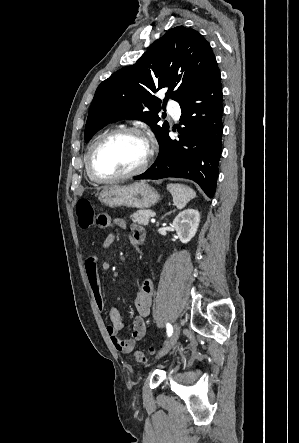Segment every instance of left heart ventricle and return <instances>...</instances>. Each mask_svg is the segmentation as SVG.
Segmentation results:
<instances>
[{"mask_svg": "<svg viewBox=\"0 0 299 443\" xmlns=\"http://www.w3.org/2000/svg\"><path fill=\"white\" fill-rule=\"evenodd\" d=\"M145 141L136 134H121L102 143L95 152L93 166L103 177L132 170L144 159Z\"/></svg>", "mask_w": 299, "mask_h": 443, "instance_id": "1", "label": "left heart ventricle"}]
</instances>
